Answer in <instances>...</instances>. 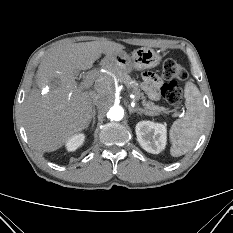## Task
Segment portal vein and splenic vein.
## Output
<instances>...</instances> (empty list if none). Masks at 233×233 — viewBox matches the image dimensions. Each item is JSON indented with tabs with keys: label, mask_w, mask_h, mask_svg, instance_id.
<instances>
[{
	"label": "portal vein and splenic vein",
	"mask_w": 233,
	"mask_h": 233,
	"mask_svg": "<svg viewBox=\"0 0 233 233\" xmlns=\"http://www.w3.org/2000/svg\"><path fill=\"white\" fill-rule=\"evenodd\" d=\"M92 83H93V80H92L91 78L88 77V78H86V79L83 81V83L80 85L79 89H80V90L88 89V88L91 87ZM132 96L134 97V95H132Z\"/></svg>",
	"instance_id": "18ae733b"
}]
</instances>
